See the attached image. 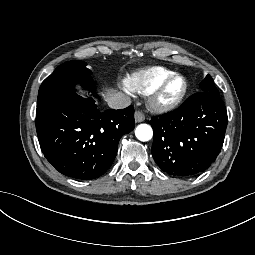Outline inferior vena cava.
Masks as SVG:
<instances>
[{
    "mask_svg": "<svg viewBox=\"0 0 255 255\" xmlns=\"http://www.w3.org/2000/svg\"><path fill=\"white\" fill-rule=\"evenodd\" d=\"M106 101L110 108L122 109L126 108L131 104L129 96L122 92H114L106 97Z\"/></svg>",
    "mask_w": 255,
    "mask_h": 255,
    "instance_id": "obj_1",
    "label": "inferior vena cava"
}]
</instances>
